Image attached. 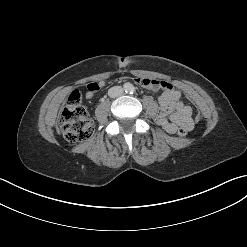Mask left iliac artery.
I'll return each mask as SVG.
<instances>
[{
  "instance_id": "obj_1",
  "label": "left iliac artery",
  "mask_w": 247,
  "mask_h": 247,
  "mask_svg": "<svg viewBox=\"0 0 247 247\" xmlns=\"http://www.w3.org/2000/svg\"><path fill=\"white\" fill-rule=\"evenodd\" d=\"M131 93L133 94V93H135V89L133 88V89H131Z\"/></svg>"
}]
</instances>
